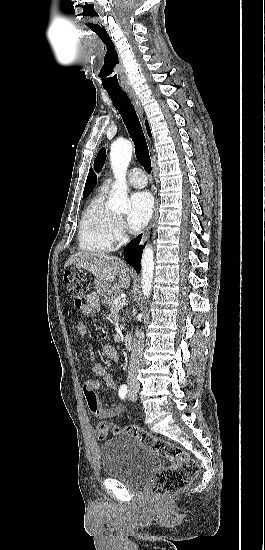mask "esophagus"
<instances>
[{"label": "esophagus", "instance_id": "obj_1", "mask_svg": "<svg viewBox=\"0 0 265 550\" xmlns=\"http://www.w3.org/2000/svg\"><path fill=\"white\" fill-rule=\"evenodd\" d=\"M128 95L132 99V102H133V104L135 105V107L137 109V112H138V115L140 117L141 122L144 124V111H143V107L141 105V102H140L139 98L137 97V95L132 90L128 91ZM154 171L155 170H154V167H153V172ZM155 219H156V212L154 213L152 221H151L149 227L146 229L143 238L146 237V235L149 233V231L153 227V225L155 223Z\"/></svg>", "mask_w": 265, "mask_h": 550}]
</instances>
